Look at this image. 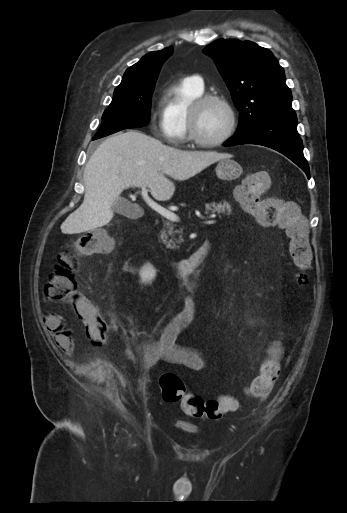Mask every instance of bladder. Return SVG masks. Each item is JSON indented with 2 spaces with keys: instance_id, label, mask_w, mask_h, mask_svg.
<instances>
[{
  "instance_id": "1",
  "label": "bladder",
  "mask_w": 347,
  "mask_h": 513,
  "mask_svg": "<svg viewBox=\"0 0 347 513\" xmlns=\"http://www.w3.org/2000/svg\"><path fill=\"white\" fill-rule=\"evenodd\" d=\"M177 426L184 430V431H188V432H195V428H193L191 425H189L188 423L186 422H183V421H179L177 423Z\"/></svg>"
}]
</instances>
